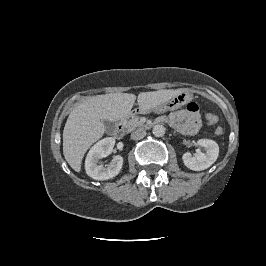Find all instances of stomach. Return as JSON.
Masks as SVG:
<instances>
[{"mask_svg": "<svg viewBox=\"0 0 266 266\" xmlns=\"http://www.w3.org/2000/svg\"><path fill=\"white\" fill-rule=\"evenodd\" d=\"M190 98L191 94L189 92L181 91L179 94L172 97L168 101L156 106L154 110L158 113H163L186 104L190 100Z\"/></svg>", "mask_w": 266, "mask_h": 266, "instance_id": "obj_1", "label": "stomach"}]
</instances>
